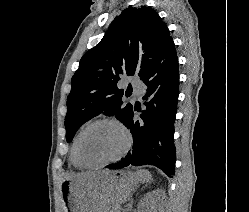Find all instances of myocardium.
Instances as JSON below:
<instances>
[{
    "mask_svg": "<svg viewBox=\"0 0 249 212\" xmlns=\"http://www.w3.org/2000/svg\"><path fill=\"white\" fill-rule=\"evenodd\" d=\"M102 124H110V125H114L115 127H117L123 138H124V145H123V148L122 150L120 151V153L107 160V161H104V162H100V163H95V164H88V163H85L80 155H79V144H80V141L82 140V138L84 137V135L89 131L91 130L92 128L96 127V126H99V125H102ZM132 143H133V139H132V134L129 130V128L126 126V124L124 122H122L121 120L117 119V118H113V117H103V118H99L91 123H89L88 125H86L80 132L79 134L77 135L76 139H75V142H74V158L76 160V162L78 163V165L82 168H86V169H99V168H103V167H106V166H109V165H112L118 161H120L122 158H124L131 146H132Z\"/></svg>",
    "mask_w": 249,
    "mask_h": 212,
    "instance_id": "1",
    "label": "myocardium"
}]
</instances>
